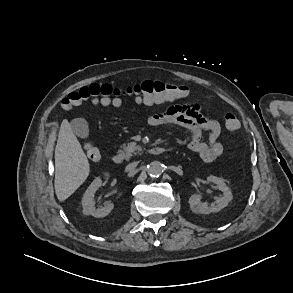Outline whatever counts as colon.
<instances>
[{"instance_id":"1","label":"colon","mask_w":293,"mask_h":293,"mask_svg":"<svg viewBox=\"0 0 293 293\" xmlns=\"http://www.w3.org/2000/svg\"><path fill=\"white\" fill-rule=\"evenodd\" d=\"M186 96V89L173 83L145 80L124 87H115L111 84L92 83L67 94L61 99L60 105L63 109H70L90 100L102 106L119 105L129 98H149L154 101L181 100ZM239 121L233 115L226 117V127L229 130L239 128ZM85 153L88 159L96 162L100 159V151L92 143H84Z\"/></svg>"}]
</instances>
